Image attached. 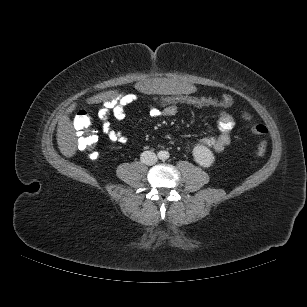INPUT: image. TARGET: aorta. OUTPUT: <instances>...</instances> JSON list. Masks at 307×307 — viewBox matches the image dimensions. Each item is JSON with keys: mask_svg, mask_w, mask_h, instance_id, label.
<instances>
[{"mask_svg": "<svg viewBox=\"0 0 307 307\" xmlns=\"http://www.w3.org/2000/svg\"><path fill=\"white\" fill-rule=\"evenodd\" d=\"M158 157L161 160H166L169 157V153L167 151H159Z\"/></svg>", "mask_w": 307, "mask_h": 307, "instance_id": "762f6f07", "label": "aorta"}]
</instances>
